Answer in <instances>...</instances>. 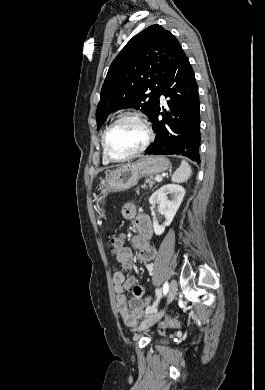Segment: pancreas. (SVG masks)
I'll use <instances>...</instances> for the list:
<instances>
[{
    "label": "pancreas",
    "instance_id": "cf45deb5",
    "mask_svg": "<svg viewBox=\"0 0 265 390\" xmlns=\"http://www.w3.org/2000/svg\"><path fill=\"white\" fill-rule=\"evenodd\" d=\"M145 183H148L149 186H153V185L155 184L153 178L146 179V180H145ZM142 187H145V185L142 186ZM137 191H138V190H137Z\"/></svg>",
    "mask_w": 265,
    "mask_h": 390
}]
</instances>
